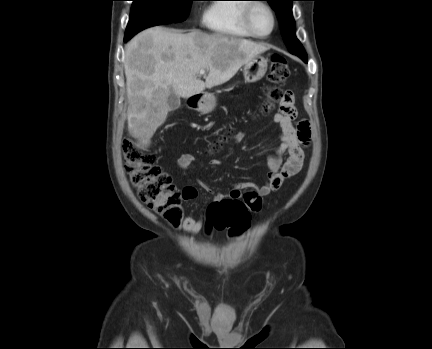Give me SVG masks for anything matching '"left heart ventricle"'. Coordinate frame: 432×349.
<instances>
[{
    "mask_svg": "<svg viewBox=\"0 0 432 349\" xmlns=\"http://www.w3.org/2000/svg\"><path fill=\"white\" fill-rule=\"evenodd\" d=\"M252 25L259 34H267L272 27V17L269 11L262 6H257L251 16Z\"/></svg>",
    "mask_w": 432,
    "mask_h": 349,
    "instance_id": "left-heart-ventricle-1",
    "label": "left heart ventricle"
}]
</instances>
